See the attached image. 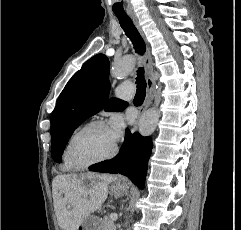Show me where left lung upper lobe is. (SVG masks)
<instances>
[{"instance_id":"left-lung-upper-lobe-1","label":"left lung upper lobe","mask_w":241,"mask_h":230,"mask_svg":"<svg viewBox=\"0 0 241 230\" xmlns=\"http://www.w3.org/2000/svg\"><path fill=\"white\" fill-rule=\"evenodd\" d=\"M109 69L108 58L97 54L83 64L61 92L51 115V154L54 161H62L71 134L87 118L102 109L122 111L126 108L125 102L108 98Z\"/></svg>"}]
</instances>
